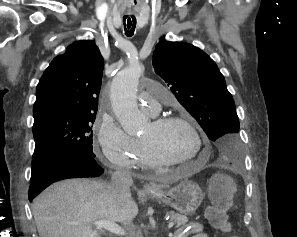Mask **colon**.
I'll return each mask as SVG.
<instances>
[{"instance_id":"5ec220e1","label":"colon","mask_w":297,"mask_h":237,"mask_svg":"<svg viewBox=\"0 0 297 237\" xmlns=\"http://www.w3.org/2000/svg\"><path fill=\"white\" fill-rule=\"evenodd\" d=\"M234 190V184L226 174L216 175L210 184L212 205L208 207L206 216L214 229L224 233H229L232 229L228 222L227 212L232 206Z\"/></svg>"}]
</instances>
